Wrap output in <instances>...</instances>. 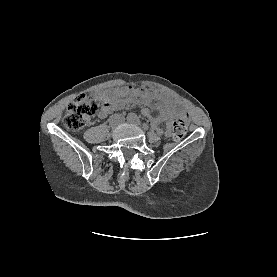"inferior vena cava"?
<instances>
[{"instance_id": "inferior-vena-cava-1", "label": "inferior vena cava", "mask_w": 277, "mask_h": 277, "mask_svg": "<svg viewBox=\"0 0 277 277\" xmlns=\"http://www.w3.org/2000/svg\"><path fill=\"white\" fill-rule=\"evenodd\" d=\"M119 118H120V120H121V121L119 122V124L122 123V122H124V117H123V116H120Z\"/></svg>"}]
</instances>
